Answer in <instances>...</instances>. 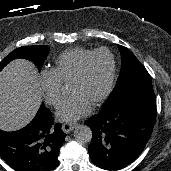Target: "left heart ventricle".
I'll return each mask as SVG.
<instances>
[{
  "instance_id": "1",
  "label": "left heart ventricle",
  "mask_w": 171,
  "mask_h": 171,
  "mask_svg": "<svg viewBox=\"0 0 171 171\" xmlns=\"http://www.w3.org/2000/svg\"><path fill=\"white\" fill-rule=\"evenodd\" d=\"M111 71V60L101 53L92 58L83 76L68 84L69 94H79L92 106L106 89Z\"/></svg>"
}]
</instances>
